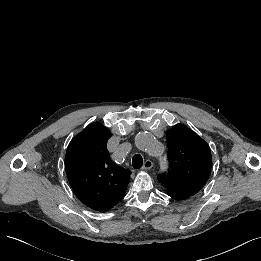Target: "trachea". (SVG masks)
<instances>
[{"mask_svg":"<svg viewBox=\"0 0 261 261\" xmlns=\"http://www.w3.org/2000/svg\"><path fill=\"white\" fill-rule=\"evenodd\" d=\"M143 165V158L140 154H135L132 158V166L134 169H140Z\"/></svg>","mask_w":261,"mask_h":261,"instance_id":"1","label":"trachea"}]
</instances>
